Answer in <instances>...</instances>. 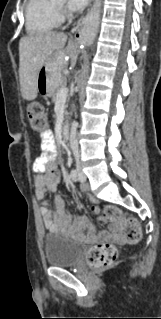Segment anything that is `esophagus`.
Returning a JSON list of instances; mask_svg holds the SVG:
<instances>
[{"mask_svg": "<svg viewBox=\"0 0 161 319\" xmlns=\"http://www.w3.org/2000/svg\"><path fill=\"white\" fill-rule=\"evenodd\" d=\"M73 32L76 40H78L83 45H88V41L83 38L84 29L82 26H78L76 29H74Z\"/></svg>", "mask_w": 161, "mask_h": 319, "instance_id": "34e87169", "label": "esophagus"}]
</instances>
